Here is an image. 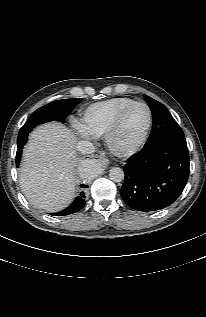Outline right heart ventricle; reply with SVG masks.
<instances>
[{
  "mask_svg": "<svg viewBox=\"0 0 206 317\" xmlns=\"http://www.w3.org/2000/svg\"><path fill=\"white\" fill-rule=\"evenodd\" d=\"M131 102L130 98L118 97L90 105L83 113L82 127L91 136H104L117 113Z\"/></svg>",
  "mask_w": 206,
  "mask_h": 317,
  "instance_id": "e07e8e85",
  "label": "right heart ventricle"
}]
</instances>
